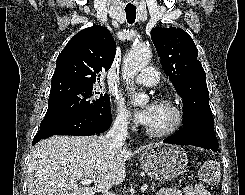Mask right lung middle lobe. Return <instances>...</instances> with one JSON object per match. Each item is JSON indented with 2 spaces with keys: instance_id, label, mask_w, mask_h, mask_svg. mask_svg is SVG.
<instances>
[{
  "instance_id": "obj_1",
  "label": "right lung middle lobe",
  "mask_w": 245,
  "mask_h": 195,
  "mask_svg": "<svg viewBox=\"0 0 245 195\" xmlns=\"http://www.w3.org/2000/svg\"><path fill=\"white\" fill-rule=\"evenodd\" d=\"M99 107H110V98L108 94L94 91L93 86L71 87L51 92L48 110L40 128Z\"/></svg>"
}]
</instances>
